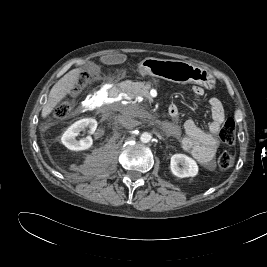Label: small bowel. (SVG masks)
Segmentation results:
<instances>
[{
    "instance_id": "small-bowel-1",
    "label": "small bowel",
    "mask_w": 267,
    "mask_h": 267,
    "mask_svg": "<svg viewBox=\"0 0 267 267\" xmlns=\"http://www.w3.org/2000/svg\"><path fill=\"white\" fill-rule=\"evenodd\" d=\"M192 94L195 97H202L204 89L194 86ZM171 106L175 108L178 114L177 106L175 104ZM209 107L211 122L208 126V132L201 130L193 120H187L184 124L185 136L182 139V147L205 168L213 169L214 157L220 144L217 134L225 119V113L221 101L217 98L209 100Z\"/></svg>"
}]
</instances>
